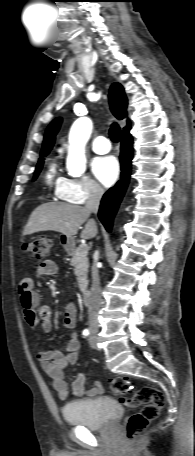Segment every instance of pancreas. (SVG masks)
<instances>
[{
  "label": "pancreas",
  "instance_id": "obj_1",
  "mask_svg": "<svg viewBox=\"0 0 195 456\" xmlns=\"http://www.w3.org/2000/svg\"><path fill=\"white\" fill-rule=\"evenodd\" d=\"M69 255L72 257L70 265L74 268L80 291L84 292L88 285L87 275L89 261L87 252H83L82 247L80 246L77 249L70 250Z\"/></svg>",
  "mask_w": 195,
  "mask_h": 456
}]
</instances>
